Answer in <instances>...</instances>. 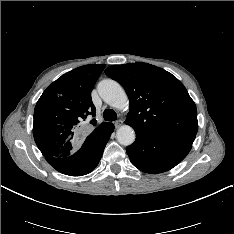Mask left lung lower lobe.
Wrapping results in <instances>:
<instances>
[{"label": "left lung lower lobe", "mask_w": 234, "mask_h": 234, "mask_svg": "<svg viewBox=\"0 0 234 234\" xmlns=\"http://www.w3.org/2000/svg\"><path fill=\"white\" fill-rule=\"evenodd\" d=\"M195 135L136 132V141L126 148L132 164L150 174L165 172L189 153Z\"/></svg>", "instance_id": "left-lung-lower-lobe-1"}]
</instances>
